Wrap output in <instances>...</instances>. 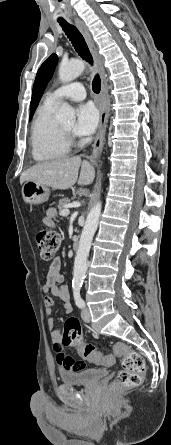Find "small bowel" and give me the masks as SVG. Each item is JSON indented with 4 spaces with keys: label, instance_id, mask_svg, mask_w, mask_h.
I'll use <instances>...</instances> for the list:
<instances>
[{
    "label": "small bowel",
    "instance_id": "1",
    "mask_svg": "<svg viewBox=\"0 0 171 445\" xmlns=\"http://www.w3.org/2000/svg\"><path fill=\"white\" fill-rule=\"evenodd\" d=\"M45 223L49 227H54L53 213L51 211L47 212ZM61 261L60 259H55L49 267L47 278L43 284V291L45 293L44 297V312L46 315H51L54 308V301L51 296L57 297L62 302V308L66 314L72 312L73 308L70 303L69 287L63 283L64 278L61 274ZM51 296H50V295ZM48 330L51 332V340L53 344V349L56 354V362L62 371H76L81 370L84 364L80 361L74 360L70 355L63 352L61 346V335L60 331L56 326L55 320L49 318L47 320Z\"/></svg>",
    "mask_w": 171,
    "mask_h": 445
}]
</instances>
